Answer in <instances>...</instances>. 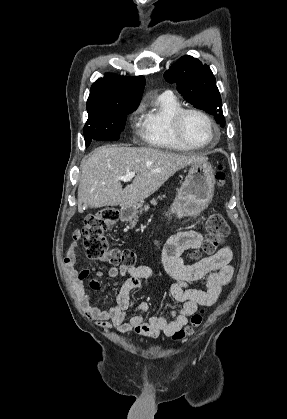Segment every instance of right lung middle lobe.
<instances>
[{
  "label": "right lung middle lobe",
  "instance_id": "obj_1",
  "mask_svg": "<svg viewBox=\"0 0 287 419\" xmlns=\"http://www.w3.org/2000/svg\"><path fill=\"white\" fill-rule=\"evenodd\" d=\"M138 105H127L110 109H102L88 114V120L83 128L86 147L92 140L116 141L124 130L127 115Z\"/></svg>",
  "mask_w": 287,
  "mask_h": 419
}]
</instances>
